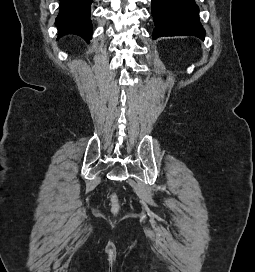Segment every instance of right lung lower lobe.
<instances>
[{"mask_svg": "<svg viewBox=\"0 0 255 272\" xmlns=\"http://www.w3.org/2000/svg\"><path fill=\"white\" fill-rule=\"evenodd\" d=\"M90 11L91 0H60L56 18L59 37L72 34L90 40L93 31Z\"/></svg>", "mask_w": 255, "mask_h": 272, "instance_id": "98d812e1", "label": "right lung lower lobe"}]
</instances>
